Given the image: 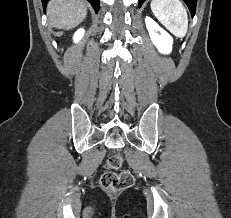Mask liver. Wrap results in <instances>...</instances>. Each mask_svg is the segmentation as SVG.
Instances as JSON below:
<instances>
[{
	"instance_id": "1",
	"label": "liver",
	"mask_w": 231,
	"mask_h": 218,
	"mask_svg": "<svg viewBox=\"0 0 231 218\" xmlns=\"http://www.w3.org/2000/svg\"><path fill=\"white\" fill-rule=\"evenodd\" d=\"M87 16L84 0H52L48 5V17L53 27L70 30Z\"/></svg>"
}]
</instances>
